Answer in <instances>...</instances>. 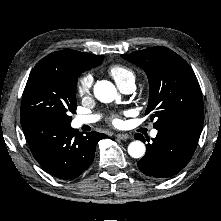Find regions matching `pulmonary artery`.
<instances>
[{"label":"pulmonary artery","mask_w":221,"mask_h":221,"mask_svg":"<svg viewBox=\"0 0 221 221\" xmlns=\"http://www.w3.org/2000/svg\"><path fill=\"white\" fill-rule=\"evenodd\" d=\"M134 82H129L126 83L122 86H120L119 88L124 92V93H131L134 90ZM98 120V116L97 115H80L77 116L74 119V125L76 127H80L82 125H87V124H92L94 122H96ZM158 131L156 129L151 131V136L152 137H156Z\"/></svg>","instance_id":"pulmonary-artery-1"}]
</instances>
